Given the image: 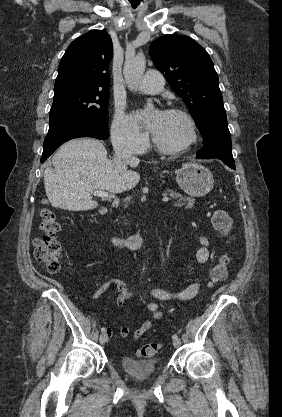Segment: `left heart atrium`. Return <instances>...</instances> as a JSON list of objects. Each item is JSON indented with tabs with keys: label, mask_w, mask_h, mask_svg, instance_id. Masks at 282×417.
<instances>
[{
	"label": "left heart atrium",
	"mask_w": 282,
	"mask_h": 417,
	"mask_svg": "<svg viewBox=\"0 0 282 417\" xmlns=\"http://www.w3.org/2000/svg\"><path fill=\"white\" fill-rule=\"evenodd\" d=\"M160 117L161 114L159 112L154 113L153 115H151L150 117L146 118V124L147 127L155 132L156 129L158 128L159 122H160Z\"/></svg>",
	"instance_id": "1"
}]
</instances>
